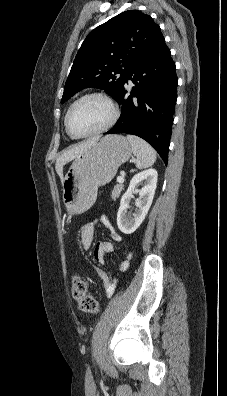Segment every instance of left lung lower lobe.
Segmentation results:
<instances>
[{"instance_id":"0a47b994","label":"left lung lower lobe","mask_w":227,"mask_h":396,"mask_svg":"<svg viewBox=\"0 0 227 396\" xmlns=\"http://www.w3.org/2000/svg\"><path fill=\"white\" fill-rule=\"evenodd\" d=\"M134 83L127 96L126 83ZM178 79L175 63L162 36L136 61L115 99L121 104V116L105 134L127 133L146 140L168 161L169 141L177 100Z\"/></svg>"}]
</instances>
